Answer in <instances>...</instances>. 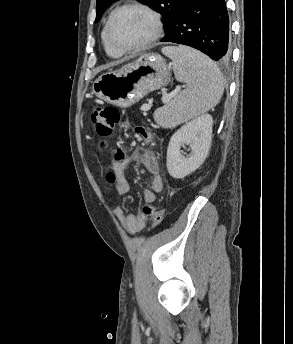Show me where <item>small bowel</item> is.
Masks as SVG:
<instances>
[{"instance_id":"c3829d8e","label":"small bowel","mask_w":293,"mask_h":344,"mask_svg":"<svg viewBox=\"0 0 293 344\" xmlns=\"http://www.w3.org/2000/svg\"><path fill=\"white\" fill-rule=\"evenodd\" d=\"M134 162L142 166L151 175L150 188L142 192L144 201L151 204L155 202L156 194L161 192L163 188V180L156 155L149 149H140L134 154ZM127 166V163H116L107 174L108 181L114 183L116 191L120 195H125L130 190V182L126 175ZM114 214L120 224L132 234L144 229L149 219V215L144 212L128 213L122 206L116 207Z\"/></svg>"}]
</instances>
